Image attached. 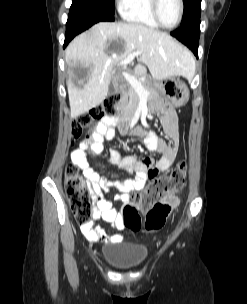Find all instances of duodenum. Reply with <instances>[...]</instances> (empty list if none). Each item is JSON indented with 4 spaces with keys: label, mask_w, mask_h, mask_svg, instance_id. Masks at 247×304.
I'll list each match as a JSON object with an SVG mask.
<instances>
[{
    "label": "duodenum",
    "mask_w": 247,
    "mask_h": 304,
    "mask_svg": "<svg viewBox=\"0 0 247 304\" xmlns=\"http://www.w3.org/2000/svg\"><path fill=\"white\" fill-rule=\"evenodd\" d=\"M148 82H151V79H148ZM117 108H118V113H123V106L121 105V104H118L117 105ZM130 121L128 120V119H120L119 120V129L121 130V132H120V135L121 136H126L127 135V132L124 130V131H122L125 127H127L128 126V123H129Z\"/></svg>",
    "instance_id": "obj_1"
}]
</instances>
